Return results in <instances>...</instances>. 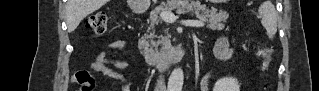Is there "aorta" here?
<instances>
[{"label": "aorta", "instance_id": "762f6f07", "mask_svg": "<svg viewBox=\"0 0 319 91\" xmlns=\"http://www.w3.org/2000/svg\"><path fill=\"white\" fill-rule=\"evenodd\" d=\"M184 82V74L181 68H175L168 81V89L170 91H181Z\"/></svg>", "mask_w": 319, "mask_h": 91}]
</instances>
